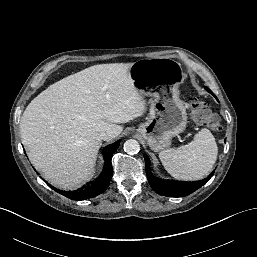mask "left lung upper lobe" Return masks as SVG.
I'll return each mask as SVG.
<instances>
[{"label": "left lung upper lobe", "instance_id": "1", "mask_svg": "<svg viewBox=\"0 0 257 257\" xmlns=\"http://www.w3.org/2000/svg\"><path fill=\"white\" fill-rule=\"evenodd\" d=\"M208 92L212 93L208 88H205Z\"/></svg>", "mask_w": 257, "mask_h": 257}]
</instances>
